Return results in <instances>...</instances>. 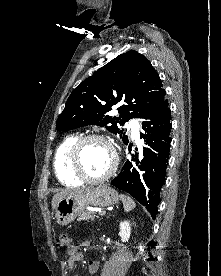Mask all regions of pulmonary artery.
<instances>
[{
	"instance_id": "obj_1",
	"label": "pulmonary artery",
	"mask_w": 221,
	"mask_h": 276,
	"mask_svg": "<svg viewBox=\"0 0 221 276\" xmlns=\"http://www.w3.org/2000/svg\"><path fill=\"white\" fill-rule=\"evenodd\" d=\"M132 135H133L134 138L139 137V126L136 123L132 124Z\"/></svg>"
}]
</instances>
